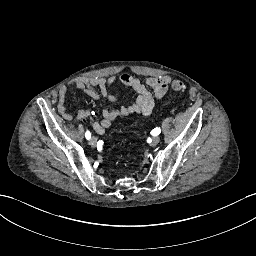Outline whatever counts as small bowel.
Returning a JSON list of instances; mask_svg holds the SVG:
<instances>
[{"mask_svg": "<svg viewBox=\"0 0 256 256\" xmlns=\"http://www.w3.org/2000/svg\"><path fill=\"white\" fill-rule=\"evenodd\" d=\"M119 81L121 84L131 88L137 97L135 101L129 105L105 109L102 113V119L93 123V129L98 135H103L107 128L112 123L119 119L125 118L132 114H140L149 116L155 105V100L161 99L165 96L170 78L167 76L150 77L145 81H140L129 73H122L116 76H93L80 77L71 82V86L84 91L92 98L100 96L108 99L110 102H117L118 98L112 94L111 87ZM68 88L66 86L60 87L57 93V110L65 118H70L71 113L66 107V97ZM90 115L88 109H81L77 111V116L86 118Z\"/></svg>", "mask_w": 256, "mask_h": 256, "instance_id": "obj_1", "label": "small bowel"}]
</instances>
